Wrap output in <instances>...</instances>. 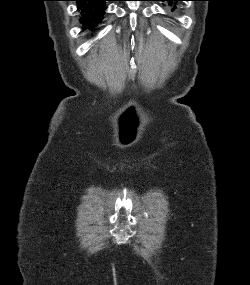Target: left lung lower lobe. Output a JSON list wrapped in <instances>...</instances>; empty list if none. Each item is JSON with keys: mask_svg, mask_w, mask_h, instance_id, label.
<instances>
[{"mask_svg": "<svg viewBox=\"0 0 250 285\" xmlns=\"http://www.w3.org/2000/svg\"><path fill=\"white\" fill-rule=\"evenodd\" d=\"M158 1H163V2L168 1V2L172 3L174 1H184V0H158ZM175 8H176V6H174L172 10H174Z\"/></svg>", "mask_w": 250, "mask_h": 285, "instance_id": "obj_1", "label": "left lung lower lobe"}]
</instances>
